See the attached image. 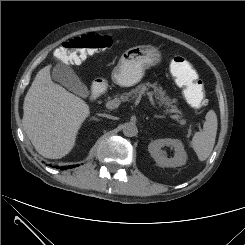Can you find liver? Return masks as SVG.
Wrapping results in <instances>:
<instances>
[{"mask_svg": "<svg viewBox=\"0 0 245 245\" xmlns=\"http://www.w3.org/2000/svg\"><path fill=\"white\" fill-rule=\"evenodd\" d=\"M52 65L36 75L23 104V126L39 154L59 159L74 147L78 131L90 114L80 97L51 79Z\"/></svg>", "mask_w": 245, "mask_h": 245, "instance_id": "6515ba94", "label": "liver"}]
</instances>
